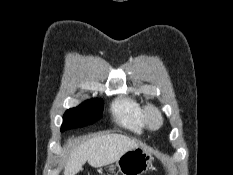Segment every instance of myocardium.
Instances as JSON below:
<instances>
[{"label":"myocardium","mask_w":233,"mask_h":175,"mask_svg":"<svg viewBox=\"0 0 233 175\" xmlns=\"http://www.w3.org/2000/svg\"><path fill=\"white\" fill-rule=\"evenodd\" d=\"M143 116L146 126L151 130H157L163 124L162 113L155 105H146L144 107Z\"/></svg>","instance_id":"1"}]
</instances>
